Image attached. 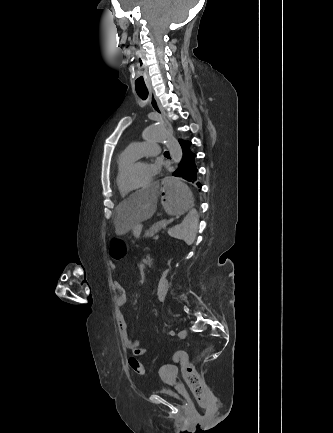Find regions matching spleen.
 Returning <instances> with one entry per match:
<instances>
[{"label":"spleen","mask_w":333,"mask_h":433,"mask_svg":"<svg viewBox=\"0 0 333 433\" xmlns=\"http://www.w3.org/2000/svg\"><path fill=\"white\" fill-rule=\"evenodd\" d=\"M197 229L198 218L196 211L193 209L189 210L183 221L173 226L168 233L171 237L184 240L187 245H192L196 239Z\"/></svg>","instance_id":"3e777b00"}]
</instances>
